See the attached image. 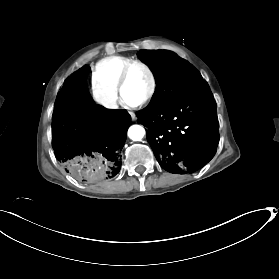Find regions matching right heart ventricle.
Instances as JSON below:
<instances>
[{"instance_id":"obj_1","label":"right heart ventricle","mask_w":279,"mask_h":279,"mask_svg":"<svg viewBox=\"0 0 279 279\" xmlns=\"http://www.w3.org/2000/svg\"><path fill=\"white\" fill-rule=\"evenodd\" d=\"M133 59L125 56H109L99 60L91 70L93 84H101L118 94L117 82L121 70Z\"/></svg>"}]
</instances>
